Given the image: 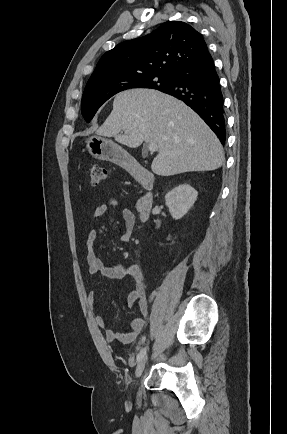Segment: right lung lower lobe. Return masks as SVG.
Segmentation results:
<instances>
[{
	"instance_id": "98d812e1",
	"label": "right lung lower lobe",
	"mask_w": 287,
	"mask_h": 434,
	"mask_svg": "<svg viewBox=\"0 0 287 434\" xmlns=\"http://www.w3.org/2000/svg\"><path fill=\"white\" fill-rule=\"evenodd\" d=\"M211 55L176 75L173 85L164 90L190 106L215 132L221 143L226 140L223 95Z\"/></svg>"
}]
</instances>
